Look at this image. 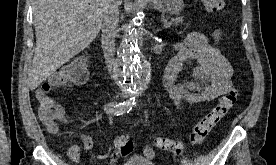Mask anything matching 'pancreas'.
<instances>
[{
    "mask_svg": "<svg viewBox=\"0 0 276 165\" xmlns=\"http://www.w3.org/2000/svg\"><path fill=\"white\" fill-rule=\"evenodd\" d=\"M171 25H179L180 23H182V18L181 17H178V18H174L171 20Z\"/></svg>",
    "mask_w": 276,
    "mask_h": 165,
    "instance_id": "pancreas-1",
    "label": "pancreas"
}]
</instances>
